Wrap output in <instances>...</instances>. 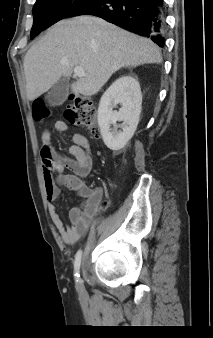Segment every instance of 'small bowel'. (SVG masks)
Wrapping results in <instances>:
<instances>
[{"label": "small bowel", "mask_w": 213, "mask_h": 338, "mask_svg": "<svg viewBox=\"0 0 213 338\" xmlns=\"http://www.w3.org/2000/svg\"><path fill=\"white\" fill-rule=\"evenodd\" d=\"M53 127L58 133H65L68 130L63 121H56ZM41 140L42 177L45 194L50 202L48 205L50 218L60 232L62 240L68 245H73L85 235L103 204L102 190L98 187H89L83 181L90 174L93 166L88 140L83 134L73 133V144L68 149L69 156L62 155L52 148L50 129L43 130ZM65 169H69L71 173H65ZM62 187L76 193L82 200L80 208L70 211L69 225L63 222L53 203L59 197Z\"/></svg>", "instance_id": "obj_1"}]
</instances>
